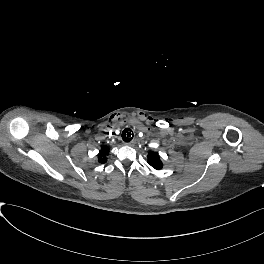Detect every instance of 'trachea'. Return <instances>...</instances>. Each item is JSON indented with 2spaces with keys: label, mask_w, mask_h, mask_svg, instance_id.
I'll return each instance as SVG.
<instances>
[{
  "label": "trachea",
  "mask_w": 264,
  "mask_h": 264,
  "mask_svg": "<svg viewBox=\"0 0 264 264\" xmlns=\"http://www.w3.org/2000/svg\"><path fill=\"white\" fill-rule=\"evenodd\" d=\"M122 139L125 142H130L133 139V131L129 128H126L122 132Z\"/></svg>",
  "instance_id": "3493384b"
}]
</instances>
